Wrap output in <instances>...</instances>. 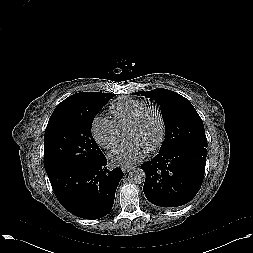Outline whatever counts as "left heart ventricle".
Returning <instances> with one entry per match:
<instances>
[{
	"instance_id": "1",
	"label": "left heart ventricle",
	"mask_w": 253,
	"mask_h": 253,
	"mask_svg": "<svg viewBox=\"0 0 253 253\" xmlns=\"http://www.w3.org/2000/svg\"><path fill=\"white\" fill-rule=\"evenodd\" d=\"M158 132L159 119L154 112H148L136 126L126 128L125 138L136 139L148 149L155 142Z\"/></svg>"
}]
</instances>
